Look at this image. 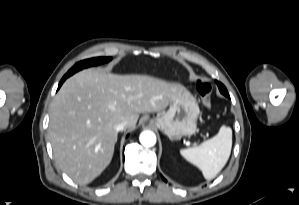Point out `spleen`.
Listing matches in <instances>:
<instances>
[{"instance_id": "obj_1", "label": "spleen", "mask_w": 299, "mask_h": 205, "mask_svg": "<svg viewBox=\"0 0 299 205\" xmlns=\"http://www.w3.org/2000/svg\"><path fill=\"white\" fill-rule=\"evenodd\" d=\"M232 148V130L221 126L217 135L197 147L182 149L180 154L197 166L205 179H213L227 163Z\"/></svg>"}]
</instances>
